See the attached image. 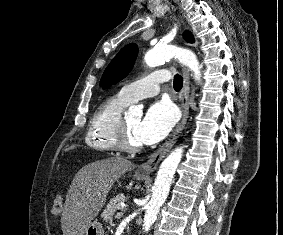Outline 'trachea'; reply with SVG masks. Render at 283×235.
Masks as SVG:
<instances>
[{
  "mask_svg": "<svg viewBox=\"0 0 283 235\" xmlns=\"http://www.w3.org/2000/svg\"><path fill=\"white\" fill-rule=\"evenodd\" d=\"M182 86H183V78L179 74H176L174 76V81H173L174 90L180 91Z\"/></svg>",
  "mask_w": 283,
  "mask_h": 235,
  "instance_id": "trachea-1",
  "label": "trachea"
}]
</instances>
